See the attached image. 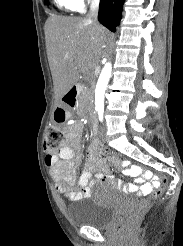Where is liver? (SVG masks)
Returning a JSON list of instances; mask_svg holds the SVG:
<instances>
[{
  "label": "liver",
  "instance_id": "liver-1",
  "mask_svg": "<svg viewBox=\"0 0 183 246\" xmlns=\"http://www.w3.org/2000/svg\"><path fill=\"white\" fill-rule=\"evenodd\" d=\"M107 34L104 27L94 26L87 19L57 15L48 18L46 48L56 99L77 83L79 73L98 64Z\"/></svg>",
  "mask_w": 183,
  "mask_h": 246
}]
</instances>
